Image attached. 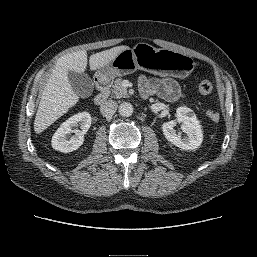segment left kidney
Here are the masks:
<instances>
[{"label":"left kidney","mask_w":257,"mask_h":257,"mask_svg":"<svg viewBox=\"0 0 257 257\" xmlns=\"http://www.w3.org/2000/svg\"><path fill=\"white\" fill-rule=\"evenodd\" d=\"M176 117V120L163 123L162 130L165 138L183 150L197 149L203 141V134L193 110L187 107H179L176 111ZM177 122L182 124L183 130L187 134L185 138L176 134L174 126Z\"/></svg>","instance_id":"obj_1"}]
</instances>
